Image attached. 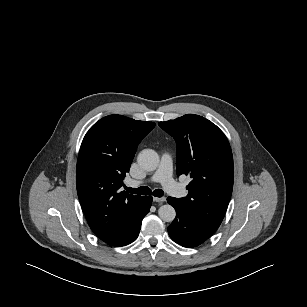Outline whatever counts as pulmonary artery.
<instances>
[{"instance_id": "pulmonary-artery-1", "label": "pulmonary artery", "mask_w": 307, "mask_h": 307, "mask_svg": "<svg viewBox=\"0 0 307 307\" xmlns=\"http://www.w3.org/2000/svg\"><path fill=\"white\" fill-rule=\"evenodd\" d=\"M153 182H160L163 187L175 196H182L184 194L183 188L172 178V157L168 153H163L158 169L155 171L150 179ZM141 182L136 180H129V187H136Z\"/></svg>"}]
</instances>
